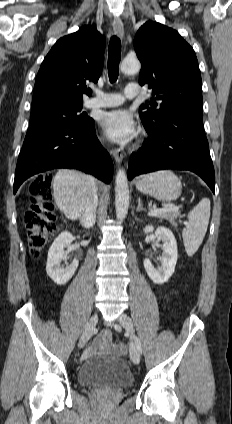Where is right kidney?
I'll return each instance as SVG.
<instances>
[{
	"mask_svg": "<svg viewBox=\"0 0 232 424\" xmlns=\"http://www.w3.org/2000/svg\"><path fill=\"white\" fill-rule=\"evenodd\" d=\"M74 237L69 232H62L52 243L47 258L46 272L47 275L57 284H66L74 275L79 261L74 259L73 262L66 267H61L64 259V249L71 245Z\"/></svg>",
	"mask_w": 232,
	"mask_h": 424,
	"instance_id": "1",
	"label": "right kidney"
}]
</instances>
